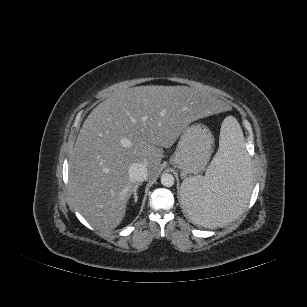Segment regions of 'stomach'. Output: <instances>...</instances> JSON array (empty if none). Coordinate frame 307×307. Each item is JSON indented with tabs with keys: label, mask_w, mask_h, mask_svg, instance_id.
<instances>
[{
	"label": "stomach",
	"mask_w": 307,
	"mask_h": 307,
	"mask_svg": "<svg viewBox=\"0 0 307 307\" xmlns=\"http://www.w3.org/2000/svg\"><path fill=\"white\" fill-rule=\"evenodd\" d=\"M211 131L202 123L188 125L182 132L170 164L181 170L186 178L205 170L213 151Z\"/></svg>",
	"instance_id": "1"
}]
</instances>
